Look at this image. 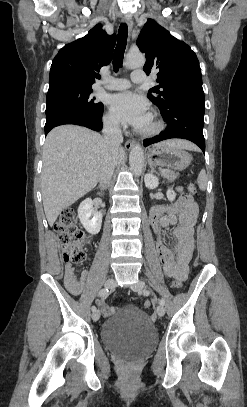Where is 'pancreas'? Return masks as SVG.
I'll return each mask as SVG.
<instances>
[{"instance_id": "cf45deb5", "label": "pancreas", "mask_w": 247, "mask_h": 407, "mask_svg": "<svg viewBox=\"0 0 247 407\" xmlns=\"http://www.w3.org/2000/svg\"><path fill=\"white\" fill-rule=\"evenodd\" d=\"M161 176L168 182H174V180L179 177V173L172 170H164L161 172Z\"/></svg>"}]
</instances>
